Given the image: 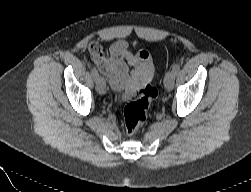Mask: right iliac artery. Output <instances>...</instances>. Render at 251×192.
I'll return each mask as SVG.
<instances>
[{"label":"right iliac artery","mask_w":251,"mask_h":192,"mask_svg":"<svg viewBox=\"0 0 251 192\" xmlns=\"http://www.w3.org/2000/svg\"><path fill=\"white\" fill-rule=\"evenodd\" d=\"M91 75L95 81L99 78V74H98L96 68L93 66H91Z\"/></svg>","instance_id":"right-iliac-artery-1"}]
</instances>
